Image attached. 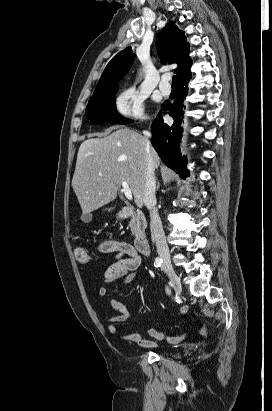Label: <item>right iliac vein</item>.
Listing matches in <instances>:
<instances>
[{"label": "right iliac vein", "instance_id": "obj_1", "mask_svg": "<svg viewBox=\"0 0 272 411\" xmlns=\"http://www.w3.org/2000/svg\"><path fill=\"white\" fill-rule=\"evenodd\" d=\"M162 267L164 269V272L169 277V279H170L174 289L176 290V292L180 293L181 290H182L181 281H180L178 275L176 274L174 268L170 264V262L164 261L163 264H162Z\"/></svg>", "mask_w": 272, "mask_h": 411}]
</instances>
